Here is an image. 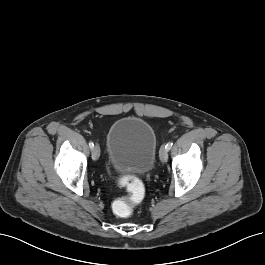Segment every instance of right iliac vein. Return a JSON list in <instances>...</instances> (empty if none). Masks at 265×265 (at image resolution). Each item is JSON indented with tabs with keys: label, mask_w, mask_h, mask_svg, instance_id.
I'll use <instances>...</instances> for the list:
<instances>
[{
	"label": "right iliac vein",
	"mask_w": 265,
	"mask_h": 265,
	"mask_svg": "<svg viewBox=\"0 0 265 265\" xmlns=\"http://www.w3.org/2000/svg\"><path fill=\"white\" fill-rule=\"evenodd\" d=\"M100 156V148L99 146L96 144L93 149H92V159L93 160H98Z\"/></svg>",
	"instance_id": "63e3f726"
}]
</instances>
